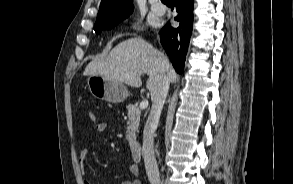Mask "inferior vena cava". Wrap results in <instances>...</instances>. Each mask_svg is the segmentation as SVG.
Listing matches in <instances>:
<instances>
[{
	"label": "inferior vena cava",
	"mask_w": 293,
	"mask_h": 184,
	"mask_svg": "<svg viewBox=\"0 0 293 184\" xmlns=\"http://www.w3.org/2000/svg\"><path fill=\"white\" fill-rule=\"evenodd\" d=\"M169 83V77L165 74L158 90L151 95L152 107L143 132L142 154L150 184H160L159 170L154 153V132L167 97Z\"/></svg>",
	"instance_id": "inferior-vena-cava-1"
}]
</instances>
